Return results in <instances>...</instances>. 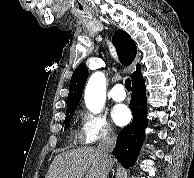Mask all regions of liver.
<instances>
[{"instance_id": "1", "label": "liver", "mask_w": 194, "mask_h": 178, "mask_svg": "<svg viewBox=\"0 0 194 178\" xmlns=\"http://www.w3.org/2000/svg\"><path fill=\"white\" fill-rule=\"evenodd\" d=\"M106 170L98 148L81 147L55 156L45 178H103Z\"/></svg>"}]
</instances>
